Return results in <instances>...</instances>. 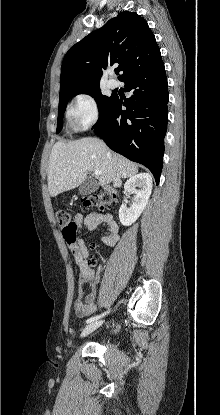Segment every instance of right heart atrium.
Segmentation results:
<instances>
[{
    "mask_svg": "<svg viewBox=\"0 0 220 415\" xmlns=\"http://www.w3.org/2000/svg\"><path fill=\"white\" fill-rule=\"evenodd\" d=\"M67 116L71 128L86 130L99 120V107L96 98L90 93L77 95L70 105Z\"/></svg>",
    "mask_w": 220,
    "mask_h": 415,
    "instance_id": "d8ad5b80",
    "label": "right heart atrium"
}]
</instances>
